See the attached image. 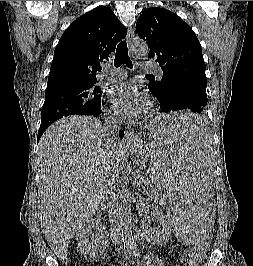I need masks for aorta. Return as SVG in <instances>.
Listing matches in <instances>:
<instances>
[{"label":"aorta","mask_w":253,"mask_h":266,"mask_svg":"<svg viewBox=\"0 0 253 266\" xmlns=\"http://www.w3.org/2000/svg\"><path fill=\"white\" fill-rule=\"evenodd\" d=\"M133 51L139 56H146L149 52V48L144 41L135 42L133 45ZM131 191L127 185H123L118 194L119 206L118 213L120 217V225L122 231V241L124 244H132L133 236L131 232ZM155 242L154 240H152Z\"/></svg>","instance_id":"aorta-1"}]
</instances>
